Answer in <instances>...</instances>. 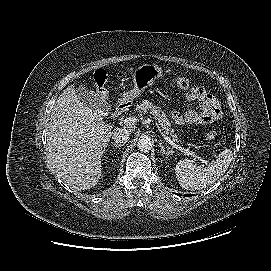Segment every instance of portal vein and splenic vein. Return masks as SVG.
I'll use <instances>...</instances> for the list:
<instances>
[{"label":"portal vein and splenic vein","mask_w":271,"mask_h":271,"mask_svg":"<svg viewBox=\"0 0 271 271\" xmlns=\"http://www.w3.org/2000/svg\"><path fill=\"white\" fill-rule=\"evenodd\" d=\"M137 117H128L126 119H124V124L127 126H132L135 125L137 122ZM159 128V127H158ZM160 133L163 136V138L174 148L179 149L181 152L187 154V155H192L194 158H197L203 165L207 164V161L204 160L203 158H201L200 156H198L196 153H194L193 151H190L187 148L181 147L180 145L176 144L175 142H173L168 136H166V134L161 131L160 129Z\"/></svg>","instance_id":"obj_1"}]
</instances>
